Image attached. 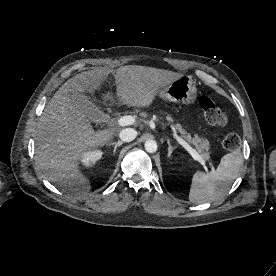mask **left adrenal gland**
<instances>
[{"label": "left adrenal gland", "mask_w": 276, "mask_h": 276, "mask_svg": "<svg viewBox=\"0 0 276 276\" xmlns=\"http://www.w3.org/2000/svg\"><path fill=\"white\" fill-rule=\"evenodd\" d=\"M167 143H168V157H171V154H172L173 150L176 149V147L171 146L169 139L167 140Z\"/></svg>", "instance_id": "a2214340"}]
</instances>
